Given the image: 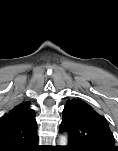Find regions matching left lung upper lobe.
<instances>
[{"instance_id": "obj_1", "label": "left lung upper lobe", "mask_w": 118, "mask_h": 151, "mask_svg": "<svg viewBox=\"0 0 118 151\" xmlns=\"http://www.w3.org/2000/svg\"><path fill=\"white\" fill-rule=\"evenodd\" d=\"M59 129L78 151H118L107 120L82 100L67 101Z\"/></svg>"}]
</instances>
